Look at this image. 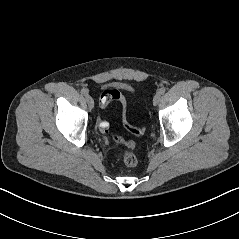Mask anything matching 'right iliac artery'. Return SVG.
Listing matches in <instances>:
<instances>
[{"label":"right iliac artery","mask_w":239,"mask_h":239,"mask_svg":"<svg viewBox=\"0 0 239 239\" xmlns=\"http://www.w3.org/2000/svg\"><path fill=\"white\" fill-rule=\"evenodd\" d=\"M81 94H83L84 96L88 95V90L87 89H81Z\"/></svg>","instance_id":"right-iliac-artery-1"}]
</instances>
